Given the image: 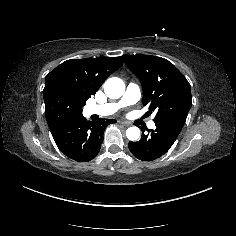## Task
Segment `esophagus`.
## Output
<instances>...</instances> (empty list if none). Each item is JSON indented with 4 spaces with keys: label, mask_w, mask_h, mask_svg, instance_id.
Segmentation results:
<instances>
[{
    "label": "esophagus",
    "mask_w": 236,
    "mask_h": 236,
    "mask_svg": "<svg viewBox=\"0 0 236 236\" xmlns=\"http://www.w3.org/2000/svg\"><path fill=\"white\" fill-rule=\"evenodd\" d=\"M118 123H119V124H122V125H124V126H130V125H131V123L128 122V121H121V120H119Z\"/></svg>",
    "instance_id": "1"
}]
</instances>
